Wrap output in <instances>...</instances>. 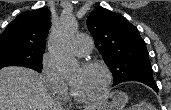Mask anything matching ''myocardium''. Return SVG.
Returning a JSON list of instances; mask_svg holds the SVG:
<instances>
[{
  "label": "myocardium",
  "instance_id": "obj_1",
  "mask_svg": "<svg viewBox=\"0 0 171 110\" xmlns=\"http://www.w3.org/2000/svg\"><path fill=\"white\" fill-rule=\"evenodd\" d=\"M80 67L83 69H88L93 67L101 69L105 75V84L102 90L98 94L91 97H81L77 95L70 82H68L69 94L71 99L80 104H90L99 101L100 99L105 97L112 85L113 76H112L111 69L105 63L96 60L85 61L81 64Z\"/></svg>",
  "mask_w": 171,
  "mask_h": 110
}]
</instances>
